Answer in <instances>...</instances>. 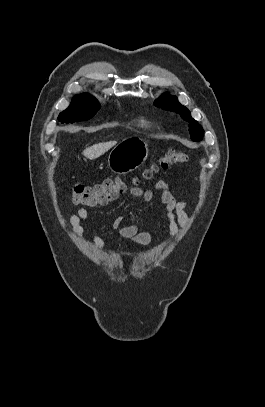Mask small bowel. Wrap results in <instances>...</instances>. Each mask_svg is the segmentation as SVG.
<instances>
[{"instance_id":"c3829d8e","label":"small bowel","mask_w":265,"mask_h":407,"mask_svg":"<svg viewBox=\"0 0 265 407\" xmlns=\"http://www.w3.org/2000/svg\"><path fill=\"white\" fill-rule=\"evenodd\" d=\"M156 189L161 193V202L166 209L167 229L170 238H175L181 230L182 226L189 224V217L185 211L186 204L179 201L171 193L169 185L164 180H159L156 183ZM130 194L136 198H143L145 202H151L154 198L152 190H143L141 187L134 186L130 189ZM89 213L85 208H79L75 214L69 218V223L72 231L80 239L85 240V231L83 223L88 220ZM122 217L119 216L113 220L109 227L112 230H117L119 234L132 241L137 245H145L153 242L157 234L162 229V224H158L156 229L152 231H142L136 224L121 226ZM92 242L94 246L100 250L107 249V244L99 235L96 228L92 229Z\"/></svg>"}]
</instances>
